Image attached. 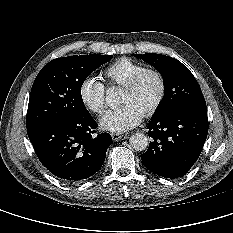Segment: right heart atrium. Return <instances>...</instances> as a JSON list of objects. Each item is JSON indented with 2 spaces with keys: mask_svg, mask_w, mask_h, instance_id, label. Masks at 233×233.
<instances>
[{
  "mask_svg": "<svg viewBox=\"0 0 233 233\" xmlns=\"http://www.w3.org/2000/svg\"><path fill=\"white\" fill-rule=\"evenodd\" d=\"M80 98L93 113L101 115L106 111V87L98 77H87L81 83Z\"/></svg>",
  "mask_w": 233,
  "mask_h": 233,
  "instance_id": "obj_1",
  "label": "right heart atrium"
}]
</instances>
